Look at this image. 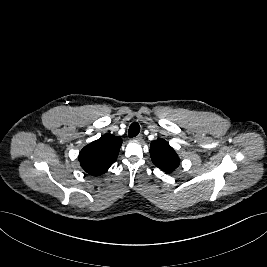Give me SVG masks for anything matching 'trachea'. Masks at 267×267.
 Wrapping results in <instances>:
<instances>
[{
	"label": "trachea",
	"instance_id": "3493384b",
	"mask_svg": "<svg viewBox=\"0 0 267 267\" xmlns=\"http://www.w3.org/2000/svg\"><path fill=\"white\" fill-rule=\"evenodd\" d=\"M140 132V126L137 122H133L128 131V135L130 138L136 137Z\"/></svg>",
	"mask_w": 267,
	"mask_h": 267
}]
</instances>
